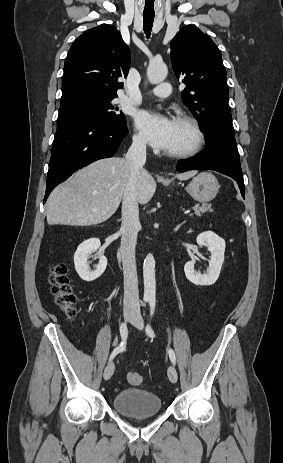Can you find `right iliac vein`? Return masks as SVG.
I'll return each instance as SVG.
<instances>
[{
  "label": "right iliac vein",
  "instance_id": "1",
  "mask_svg": "<svg viewBox=\"0 0 283 463\" xmlns=\"http://www.w3.org/2000/svg\"><path fill=\"white\" fill-rule=\"evenodd\" d=\"M134 314H135L134 311H132V310H126V311L124 312V319H125L126 321H129V320L134 316ZM114 369H115V366H114V363H113V362H110V363L106 366V368H105V370H104V379H105V380H109V379L112 377V375H113V373H114Z\"/></svg>",
  "mask_w": 283,
  "mask_h": 463
}]
</instances>
